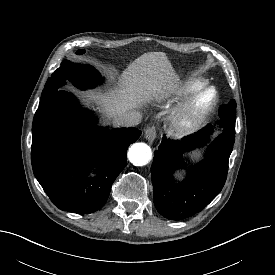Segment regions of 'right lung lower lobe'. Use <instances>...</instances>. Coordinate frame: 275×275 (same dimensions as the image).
<instances>
[{
    "mask_svg": "<svg viewBox=\"0 0 275 275\" xmlns=\"http://www.w3.org/2000/svg\"><path fill=\"white\" fill-rule=\"evenodd\" d=\"M141 131L137 128L95 129L75 98L58 91L39 106L32 124L33 173L61 210L88 214L108 199L112 184L127 161V149ZM96 167L97 176L88 178Z\"/></svg>",
    "mask_w": 275,
    "mask_h": 275,
    "instance_id": "98d812e1",
    "label": "right lung lower lobe"
}]
</instances>
